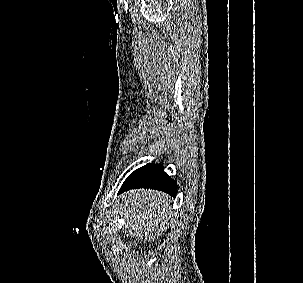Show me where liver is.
Instances as JSON below:
<instances>
[{
    "mask_svg": "<svg viewBox=\"0 0 303 283\" xmlns=\"http://www.w3.org/2000/svg\"><path fill=\"white\" fill-rule=\"evenodd\" d=\"M121 200L117 212L129 236L144 237L151 242L162 235L171 217L169 196L154 190H131L123 194Z\"/></svg>",
    "mask_w": 303,
    "mask_h": 283,
    "instance_id": "1",
    "label": "liver"
}]
</instances>
